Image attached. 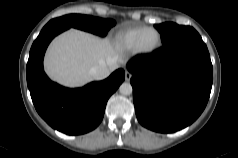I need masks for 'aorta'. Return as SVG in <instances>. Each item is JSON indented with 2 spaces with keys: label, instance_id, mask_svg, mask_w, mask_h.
I'll return each instance as SVG.
<instances>
[{
  "label": "aorta",
  "instance_id": "obj_1",
  "mask_svg": "<svg viewBox=\"0 0 238 158\" xmlns=\"http://www.w3.org/2000/svg\"><path fill=\"white\" fill-rule=\"evenodd\" d=\"M119 91L123 95H130L132 93V86L130 83H122L119 87Z\"/></svg>",
  "mask_w": 238,
  "mask_h": 158
}]
</instances>
